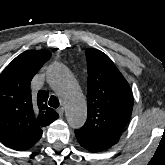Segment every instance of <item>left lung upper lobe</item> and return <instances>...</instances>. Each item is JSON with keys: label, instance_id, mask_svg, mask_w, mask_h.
I'll return each mask as SVG.
<instances>
[{"label": "left lung upper lobe", "instance_id": "5c2ea615", "mask_svg": "<svg viewBox=\"0 0 165 165\" xmlns=\"http://www.w3.org/2000/svg\"><path fill=\"white\" fill-rule=\"evenodd\" d=\"M85 54L88 116L80 130L113 146L130 120L133 95L128 82L106 54L94 48L87 49Z\"/></svg>", "mask_w": 165, "mask_h": 165}]
</instances>
